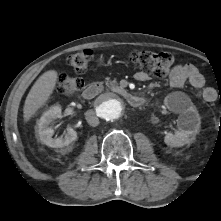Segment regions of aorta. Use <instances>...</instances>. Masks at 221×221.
I'll return each instance as SVG.
<instances>
[{
	"label": "aorta",
	"mask_w": 221,
	"mask_h": 221,
	"mask_svg": "<svg viewBox=\"0 0 221 221\" xmlns=\"http://www.w3.org/2000/svg\"><path fill=\"white\" fill-rule=\"evenodd\" d=\"M125 112L124 100L116 94L107 93L97 102L96 113L105 122H116Z\"/></svg>",
	"instance_id": "obj_1"
}]
</instances>
